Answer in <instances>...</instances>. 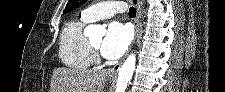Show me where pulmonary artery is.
I'll list each match as a JSON object with an SVG mask.
<instances>
[{
    "mask_svg": "<svg viewBox=\"0 0 225 92\" xmlns=\"http://www.w3.org/2000/svg\"><path fill=\"white\" fill-rule=\"evenodd\" d=\"M123 10V5L117 1L101 2L85 8L82 11V17L89 21L106 19Z\"/></svg>",
    "mask_w": 225,
    "mask_h": 92,
    "instance_id": "pulmonary-artery-1",
    "label": "pulmonary artery"
}]
</instances>
